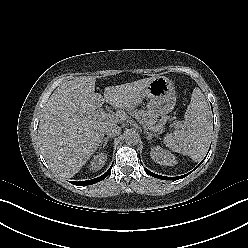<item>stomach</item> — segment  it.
Listing matches in <instances>:
<instances>
[{
    "mask_svg": "<svg viewBox=\"0 0 248 248\" xmlns=\"http://www.w3.org/2000/svg\"><path fill=\"white\" fill-rule=\"evenodd\" d=\"M150 101L147 105L152 116H164L171 112L176 103L175 88L171 80L165 76H155L141 91L136 103L143 98Z\"/></svg>",
    "mask_w": 248,
    "mask_h": 248,
    "instance_id": "0dacf381",
    "label": "stomach"
}]
</instances>
